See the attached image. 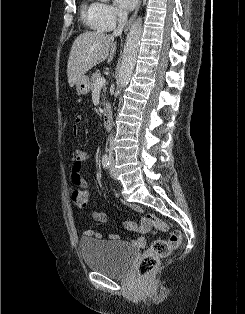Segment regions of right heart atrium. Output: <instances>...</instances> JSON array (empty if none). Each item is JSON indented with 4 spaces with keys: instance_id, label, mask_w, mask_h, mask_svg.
<instances>
[{
    "instance_id": "obj_1",
    "label": "right heart atrium",
    "mask_w": 245,
    "mask_h": 314,
    "mask_svg": "<svg viewBox=\"0 0 245 314\" xmlns=\"http://www.w3.org/2000/svg\"><path fill=\"white\" fill-rule=\"evenodd\" d=\"M96 27L100 31H111L123 19V13L108 3H94Z\"/></svg>"
}]
</instances>
